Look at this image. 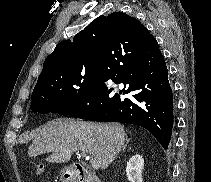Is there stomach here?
Segmentation results:
<instances>
[{
    "mask_svg": "<svg viewBox=\"0 0 211 182\" xmlns=\"http://www.w3.org/2000/svg\"><path fill=\"white\" fill-rule=\"evenodd\" d=\"M76 173L70 167H65L61 171L62 182H76Z\"/></svg>",
    "mask_w": 211,
    "mask_h": 182,
    "instance_id": "obj_1",
    "label": "stomach"
}]
</instances>
